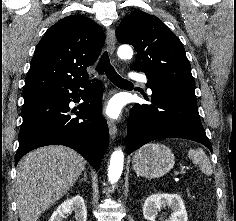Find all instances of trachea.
<instances>
[{
	"label": "trachea",
	"instance_id": "trachea-1",
	"mask_svg": "<svg viewBox=\"0 0 236 221\" xmlns=\"http://www.w3.org/2000/svg\"><path fill=\"white\" fill-rule=\"evenodd\" d=\"M96 71L99 74H103L105 72L107 78L117 86L132 85L130 81L123 79L120 75L117 74L114 67L110 63L107 51L102 54L100 61L96 67Z\"/></svg>",
	"mask_w": 236,
	"mask_h": 221
}]
</instances>
